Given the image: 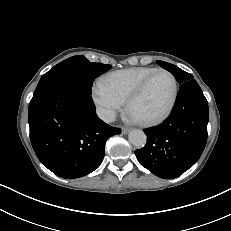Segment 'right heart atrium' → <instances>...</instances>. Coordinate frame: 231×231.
Returning <instances> with one entry per match:
<instances>
[{
	"instance_id": "obj_1",
	"label": "right heart atrium",
	"mask_w": 231,
	"mask_h": 231,
	"mask_svg": "<svg viewBox=\"0 0 231 231\" xmlns=\"http://www.w3.org/2000/svg\"><path fill=\"white\" fill-rule=\"evenodd\" d=\"M92 98L99 115L107 122L115 118L123 105L122 101L103 88L100 83L93 88Z\"/></svg>"
}]
</instances>
